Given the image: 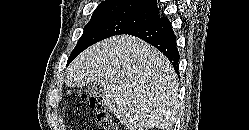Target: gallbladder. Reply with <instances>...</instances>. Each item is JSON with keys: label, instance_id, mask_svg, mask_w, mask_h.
<instances>
[{"label": "gallbladder", "instance_id": "bac80fb5", "mask_svg": "<svg viewBox=\"0 0 249 130\" xmlns=\"http://www.w3.org/2000/svg\"><path fill=\"white\" fill-rule=\"evenodd\" d=\"M85 92L90 97H95V98L102 97L104 94L103 87L101 86L99 82H91L87 84L85 87Z\"/></svg>", "mask_w": 249, "mask_h": 130}]
</instances>
